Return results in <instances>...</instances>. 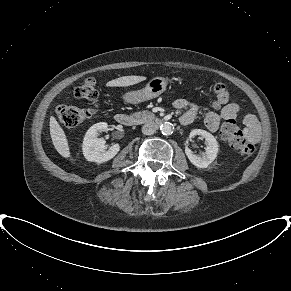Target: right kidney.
Segmentation results:
<instances>
[{"mask_svg":"<svg viewBox=\"0 0 291 291\" xmlns=\"http://www.w3.org/2000/svg\"><path fill=\"white\" fill-rule=\"evenodd\" d=\"M108 130V124L100 122L91 126L86 132L82 150L87 161L103 163L112 159L119 152V144H114L109 150L105 151V140L98 138L100 133Z\"/></svg>","mask_w":291,"mask_h":291,"instance_id":"right-kidney-1","label":"right kidney"}]
</instances>
